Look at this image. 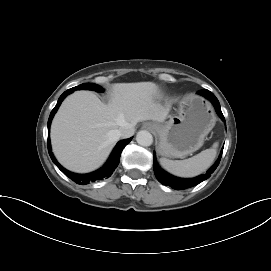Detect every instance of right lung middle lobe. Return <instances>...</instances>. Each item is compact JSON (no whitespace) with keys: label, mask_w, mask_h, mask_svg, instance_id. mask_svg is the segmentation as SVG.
I'll use <instances>...</instances> for the list:
<instances>
[{"label":"right lung middle lobe","mask_w":271,"mask_h":271,"mask_svg":"<svg viewBox=\"0 0 271 271\" xmlns=\"http://www.w3.org/2000/svg\"><path fill=\"white\" fill-rule=\"evenodd\" d=\"M73 90H79V89H88V90H93V91H97V92H103L104 89L96 84L93 83H85V84H81L79 86H76L74 88H72Z\"/></svg>","instance_id":"1"}]
</instances>
